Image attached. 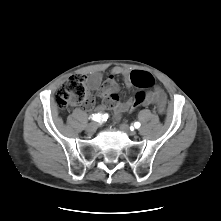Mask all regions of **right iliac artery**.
Masks as SVG:
<instances>
[{
  "label": "right iliac artery",
  "instance_id": "right-iliac-artery-1",
  "mask_svg": "<svg viewBox=\"0 0 221 221\" xmlns=\"http://www.w3.org/2000/svg\"><path fill=\"white\" fill-rule=\"evenodd\" d=\"M91 118H92V120H94V121H97V122H100V120H101V115L100 114H93L92 116H91Z\"/></svg>",
  "mask_w": 221,
  "mask_h": 221
}]
</instances>
